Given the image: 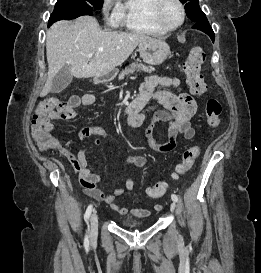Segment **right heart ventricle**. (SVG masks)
Segmentation results:
<instances>
[{"instance_id":"obj_1","label":"right heart ventricle","mask_w":261,"mask_h":273,"mask_svg":"<svg viewBox=\"0 0 261 273\" xmlns=\"http://www.w3.org/2000/svg\"><path fill=\"white\" fill-rule=\"evenodd\" d=\"M156 0H117L115 23L127 31L145 35H163L166 32L152 20V7Z\"/></svg>"}]
</instances>
